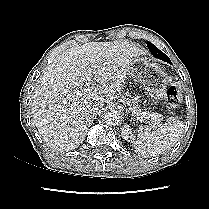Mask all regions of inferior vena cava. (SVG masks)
Instances as JSON below:
<instances>
[{
	"mask_svg": "<svg viewBox=\"0 0 209 209\" xmlns=\"http://www.w3.org/2000/svg\"><path fill=\"white\" fill-rule=\"evenodd\" d=\"M101 109L102 108L99 105H95L90 109L89 114L91 116L99 115L101 113Z\"/></svg>",
	"mask_w": 209,
	"mask_h": 209,
	"instance_id": "602c4592",
	"label": "inferior vena cava"
}]
</instances>
